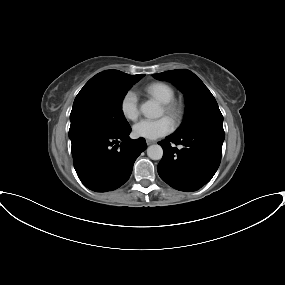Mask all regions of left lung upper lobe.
Returning a JSON list of instances; mask_svg holds the SVG:
<instances>
[{"mask_svg": "<svg viewBox=\"0 0 285 285\" xmlns=\"http://www.w3.org/2000/svg\"><path fill=\"white\" fill-rule=\"evenodd\" d=\"M153 77L170 81L185 93L186 114L175 134L186 135L203 127L223 130V116L215 98L194 73L189 70H170L153 74Z\"/></svg>", "mask_w": 285, "mask_h": 285, "instance_id": "obj_1", "label": "left lung upper lobe"}]
</instances>
